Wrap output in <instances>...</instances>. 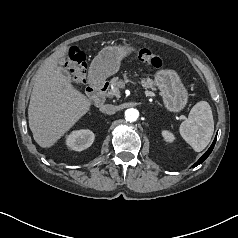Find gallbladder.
<instances>
[{"instance_id": "obj_1", "label": "gallbladder", "mask_w": 238, "mask_h": 238, "mask_svg": "<svg viewBox=\"0 0 238 238\" xmlns=\"http://www.w3.org/2000/svg\"><path fill=\"white\" fill-rule=\"evenodd\" d=\"M63 74L66 76V77H70V75H69V73L67 72V71H65V70H63Z\"/></svg>"}]
</instances>
